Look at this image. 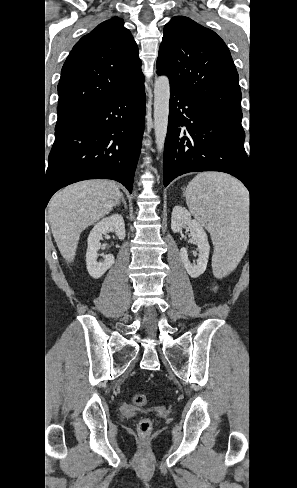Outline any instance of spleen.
Returning a JSON list of instances; mask_svg holds the SVG:
<instances>
[{"label":"spleen","instance_id":"1","mask_svg":"<svg viewBox=\"0 0 297 488\" xmlns=\"http://www.w3.org/2000/svg\"><path fill=\"white\" fill-rule=\"evenodd\" d=\"M191 213L211 234L214 265L226 272L241 260L247 240L248 192L229 175L200 173L185 193Z\"/></svg>","mask_w":297,"mask_h":488}]
</instances>
